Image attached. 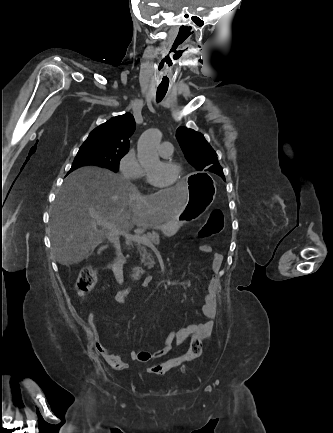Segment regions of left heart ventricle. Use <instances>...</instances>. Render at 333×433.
Masks as SVG:
<instances>
[{
    "label": "left heart ventricle",
    "instance_id": "obj_1",
    "mask_svg": "<svg viewBox=\"0 0 333 433\" xmlns=\"http://www.w3.org/2000/svg\"><path fill=\"white\" fill-rule=\"evenodd\" d=\"M153 180L160 185H169L173 182L176 172L158 160L147 167Z\"/></svg>",
    "mask_w": 333,
    "mask_h": 433
}]
</instances>
